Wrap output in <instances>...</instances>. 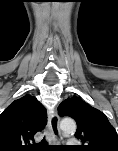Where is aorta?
<instances>
[{
    "label": "aorta",
    "mask_w": 118,
    "mask_h": 151,
    "mask_svg": "<svg viewBox=\"0 0 118 151\" xmlns=\"http://www.w3.org/2000/svg\"><path fill=\"white\" fill-rule=\"evenodd\" d=\"M60 130L65 136H69L70 134L76 131V123L71 118H65L60 122Z\"/></svg>",
    "instance_id": "aorta-1"
}]
</instances>
